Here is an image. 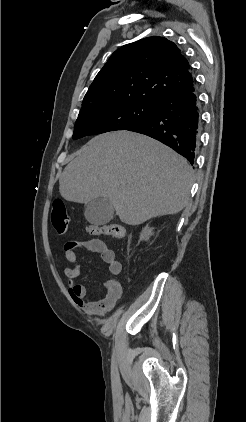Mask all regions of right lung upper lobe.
Instances as JSON below:
<instances>
[{"label": "right lung upper lobe", "instance_id": "right-lung-upper-lobe-1", "mask_svg": "<svg viewBox=\"0 0 246 422\" xmlns=\"http://www.w3.org/2000/svg\"><path fill=\"white\" fill-rule=\"evenodd\" d=\"M194 85L189 62L178 46L152 36L111 55L90 85L82 107L122 98L156 103Z\"/></svg>", "mask_w": 246, "mask_h": 422}]
</instances>
